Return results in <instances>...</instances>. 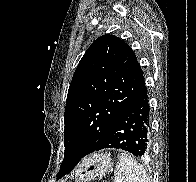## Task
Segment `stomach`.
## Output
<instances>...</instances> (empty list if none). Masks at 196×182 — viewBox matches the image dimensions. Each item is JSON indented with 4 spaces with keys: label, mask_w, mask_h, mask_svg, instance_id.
Listing matches in <instances>:
<instances>
[{
    "label": "stomach",
    "mask_w": 196,
    "mask_h": 182,
    "mask_svg": "<svg viewBox=\"0 0 196 182\" xmlns=\"http://www.w3.org/2000/svg\"><path fill=\"white\" fill-rule=\"evenodd\" d=\"M112 162L108 154L95 153L87 157L75 173V182H89L105 176L111 169Z\"/></svg>",
    "instance_id": "stomach-1"
}]
</instances>
